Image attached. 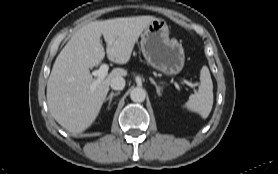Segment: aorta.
Listing matches in <instances>:
<instances>
[{
	"label": "aorta",
	"instance_id": "aorta-1",
	"mask_svg": "<svg viewBox=\"0 0 278 174\" xmlns=\"http://www.w3.org/2000/svg\"><path fill=\"white\" fill-rule=\"evenodd\" d=\"M130 98L133 102L141 103L146 98V91L141 87H135L130 92Z\"/></svg>",
	"mask_w": 278,
	"mask_h": 174
}]
</instances>
